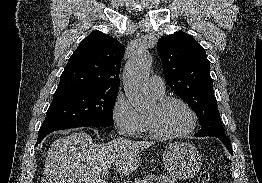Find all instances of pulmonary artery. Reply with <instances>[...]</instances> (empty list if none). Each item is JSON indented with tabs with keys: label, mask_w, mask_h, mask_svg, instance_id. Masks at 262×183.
Here are the masks:
<instances>
[{
	"label": "pulmonary artery",
	"mask_w": 262,
	"mask_h": 183,
	"mask_svg": "<svg viewBox=\"0 0 262 183\" xmlns=\"http://www.w3.org/2000/svg\"><path fill=\"white\" fill-rule=\"evenodd\" d=\"M149 88L157 98L163 97L165 93V82L161 77L153 75L149 79Z\"/></svg>",
	"instance_id": "pulmonary-artery-1"
}]
</instances>
